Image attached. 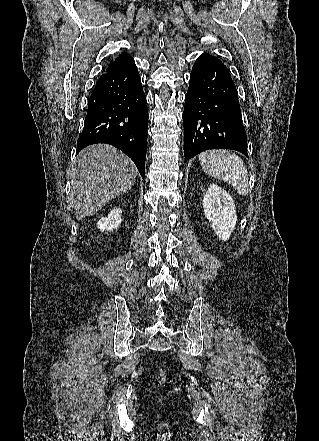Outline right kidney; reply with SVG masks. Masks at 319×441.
I'll return each instance as SVG.
<instances>
[{
  "label": "right kidney",
  "instance_id": "ca27d5eb",
  "mask_svg": "<svg viewBox=\"0 0 319 441\" xmlns=\"http://www.w3.org/2000/svg\"><path fill=\"white\" fill-rule=\"evenodd\" d=\"M121 209L116 208L111 210L107 217H101L97 222V228L101 231H113L121 224Z\"/></svg>",
  "mask_w": 319,
  "mask_h": 441
}]
</instances>
